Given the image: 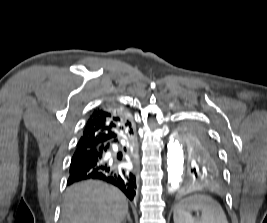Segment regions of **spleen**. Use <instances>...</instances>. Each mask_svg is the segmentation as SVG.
<instances>
[{"instance_id":"obj_1","label":"spleen","mask_w":267,"mask_h":223,"mask_svg":"<svg viewBox=\"0 0 267 223\" xmlns=\"http://www.w3.org/2000/svg\"><path fill=\"white\" fill-rule=\"evenodd\" d=\"M192 210L202 212L199 220L192 217ZM173 218L174 223H228L220 204L207 195H194L179 202Z\"/></svg>"}]
</instances>
